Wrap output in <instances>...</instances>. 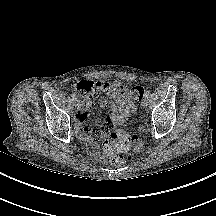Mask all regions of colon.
I'll use <instances>...</instances> for the list:
<instances>
[{
  "label": "colon",
  "instance_id": "5ec220e1",
  "mask_svg": "<svg viewBox=\"0 0 216 216\" xmlns=\"http://www.w3.org/2000/svg\"><path fill=\"white\" fill-rule=\"evenodd\" d=\"M75 90L85 100H93L101 92L98 83L92 81L77 83ZM145 92L142 86H134L130 89V94L135 100H141ZM101 133L108 136L103 143V148L109 153L112 165H122L130 160L133 154L141 148V144L135 135L121 128H115L111 122L103 124Z\"/></svg>",
  "mask_w": 216,
  "mask_h": 216
}]
</instances>
